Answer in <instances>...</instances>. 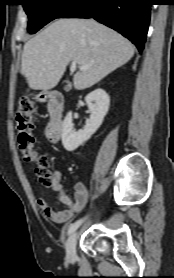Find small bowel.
I'll return each instance as SVG.
<instances>
[{"label": "small bowel", "instance_id": "1", "mask_svg": "<svg viewBox=\"0 0 174 278\" xmlns=\"http://www.w3.org/2000/svg\"><path fill=\"white\" fill-rule=\"evenodd\" d=\"M52 189L58 193L61 203L66 208L62 211L53 210L43 197H38L36 203L44 212L46 217L56 223H65L69 221L74 214L81 212L88 199V190L84 183L78 182L74 186V198L71 199L63 189L59 175H56L52 184Z\"/></svg>", "mask_w": 174, "mask_h": 278}]
</instances>
